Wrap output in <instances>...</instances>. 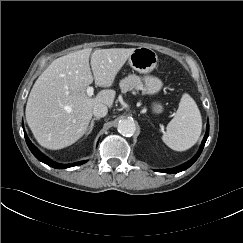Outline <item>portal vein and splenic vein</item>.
I'll return each instance as SVG.
<instances>
[{"label":"portal vein and splenic vein","instance_id":"portal-vein-and-splenic-vein-1","mask_svg":"<svg viewBox=\"0 0 243 243\" xmlns=\"http://www.w3.org/2000/svg\"><path fill=\"white\" fill-rule=\"evenodd\" d=\"M88 96H92L94 92V88L92 86H89L86 90Z\"/></svg>","mask_w":243,"mask_h":243}]
</instances>
